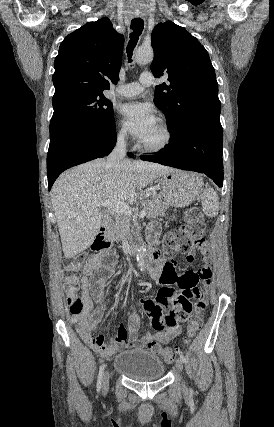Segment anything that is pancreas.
Returning <instances> with one entry per match:
<instances>
[{
    "mask_svg": "<svg viewBox=\"0 0 274 427\" xmlns=\"http://www.w3.org/2000/svg\"><path fill=\"white\" fill-rule=\"evenodd\" d=\"M142 208L147 210V217H159V215H165L169 204L162 202L159 196H151V200L146 198H140L139 200ZM130 215L115 214L114 219H109V223H106L104 235L107 239H114L119 241L122 237L130 235L129 229Z\"/></svg>",
    "mask_w": 274,
    "mask_h": 427,
    "instance_id": "1",
    "label": "pancreas"
}]
</instances>
